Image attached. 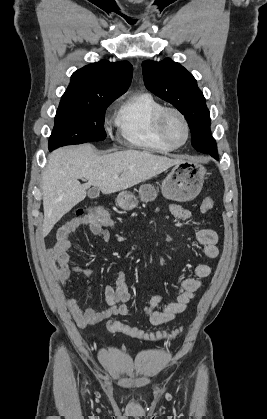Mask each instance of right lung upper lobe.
Masks as SVG:
<instances>
[{
    "mask_svg": "<svg viewBox=\"0 0 267 419\" xmlns=\"http://www.w3.org/2000/svg\"><path fill=\"white\" fill-rule=\"evenodd\" d=\"M133 67L127 61L89 64L71 76V82L62 98L88 99L120 96L127 91Z\"/></svg>",
    "mask_w": 267,
    "mask_h": 419,
    "instance_id": "right-lung-upper-lobe-1",
    "label": "right lung upper lobe"
}]
</instances>
